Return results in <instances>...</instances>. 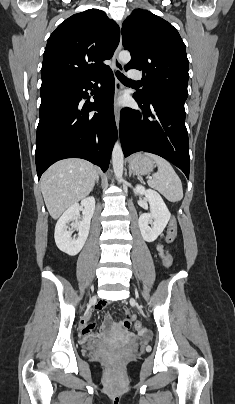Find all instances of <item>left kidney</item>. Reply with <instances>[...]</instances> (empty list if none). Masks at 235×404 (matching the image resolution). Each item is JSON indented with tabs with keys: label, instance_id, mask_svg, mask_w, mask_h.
<instances>
[{
	"label": "left kidney",
	"instance_id": "left-kidney-1",
	"mask_svg": "<svg viewBox=\"0 0 235 404\" xmlns=\"http://www.w3.org/2000/svg\"><path fill=\"white\" fill-rule=\"evenodd\" d=\"M134 194L144 195L149 202L151 213L140 215L138 224L143 239L146 242H153L165 229L170 220L171 213L162 197L156 191L137 185L134 189ZM149 224H151V227Z\"/></svg>",
	"mask_w": 235,
	"mask_h": 404
}]
</instances>
